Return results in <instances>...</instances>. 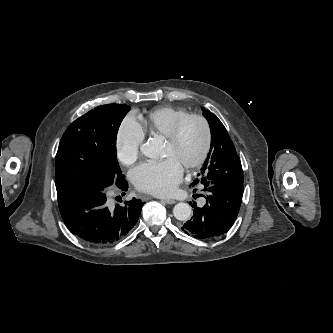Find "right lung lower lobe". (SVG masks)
<instances>
[{
	"label": "right lung lower lobe",
	"mask_w": 333,
	"mask_h": 333,
	"mask_svg": "<svg viewBox=\"0 0 333 333\" xmlns=\"http://www.w3.org/2000/svg\"><path fill=\"white\" fill-rule=\"evenodd\" d=\"M115 184L127 191L122 174ZM144 202L133 198L114 209L108 208L104 190L94 187L71 189L58 194L62 219L75 236L92 245H109L124 238L137 223Z\"/></svg>",
	"instance_id": "1"
}]
</instances>
